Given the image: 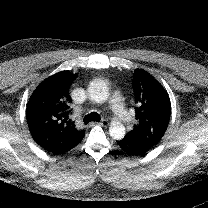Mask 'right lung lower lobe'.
<instances>
[{"label": "right lung lower lobe", "instance_id": "1", "mask_svg": "<svg viewBox=\"0 0 208 208\" xmlns=\"http://www.w3.org/2000/svg\"><path fill=\"white\" fill-rule=\"evenodd\" d=\"M83 139V137L81 139L76 140L75 142H73L72 144L65 146L63 148H60L58 150L53 151V154H64L65 152L71 150L72 148H74L76 145H78L80 143V141Z\"/></svg>", "mask_w": 208, "mask_h": 208}]
</instances>
